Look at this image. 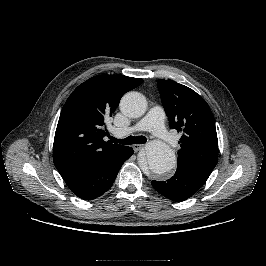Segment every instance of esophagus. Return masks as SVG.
Here are the masks:
<instances>
[{
  "label": "esophagus",
  "mask_w": 266,
  "mask_h": 266,
  "mask_svg": "<svg viewBox=\"0 0 266 266\" xmlns=\"http://www.w3.org/2000/svg\"><path fill=\"white\" fill-rule=\"evenodd\" d=\"M144 145L141 144H135L132 146L134 152H138Z\"/></svg>",
  "instance_id": "obj_1"
}]
</instances>
